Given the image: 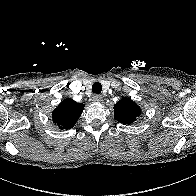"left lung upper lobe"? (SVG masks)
<instances>
[{
  "mask_svg": "<svg viewBox=\"0 0 196 196\" xmlns=\"http://www.w3.org/2000/svg\"><path fill=\"white\" fill-rule=\"evenodd\" d=\"M115 119L123 124H131L141 114V109L129 98H122L114 105Z\"/></svg>",
  "mask_w": 196,
  "mask_h": 196,
  "instance_id": "left-lung-upper-lobe-1",
  "label": "left lung upper lobe"
}]
</instances>
